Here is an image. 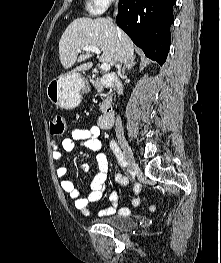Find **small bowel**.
Masks as SVG:
<instances>
[{"label": "small bowel", "instance_id": "1", "mask_svg": "<svg viewBox=\"0 0 221 263\" xmlns=\"http://www.w3.org/2000/svg\"><path fill=\"white\" fill-rule=\"evenodd\" d=\"M101 134V128L97 125L90 127L89 129L77 128L72 130L70 136L64 138L60 143L53 142L51 144L52 157L54 160H60L63 156V152H70L76 147H83L95 154L98 172L93 177L90 183V192L86 197L80 196L79 190L76 188L72 180L67 177L68 169L65 166H60L56 170V176L59 179L60 187L62 191L72 197L75 201V206L84 216H90L93 214L90 205L98 202L104 192L107 189V174L109 170V162L106 154L102 149V143L99 140ZM81 169L84 173H88L90 167L88 165H82ZM115 181L118 184L125 185L129 182L127 176L117 173L115 175ZM141 185L135 183L133 186L134 197L131 202V207H121L117 209L118 194L113 190L110 194V200L112 206L103 208L99 215L107 216L118 212L121 215L129 214L133 209L139 207Z\"/></svg>", "mask_w": 221, "mask_h": 263}]
</instances>
